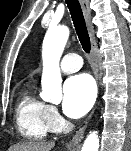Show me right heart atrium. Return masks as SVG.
I'll return each instance as SVG.
<instances>
[{
    "instance_id": "right-heart-atrium-1",
    "label": "right heart atrium",
    "mask_w": 131,
    "mask_h": 151,
    "mask_svg": "<svg viewBox=\"0 0 131 151\" xmlns=\"http://www.w3.org/2000/svg\"><path fill=\"white\" fill-rule=\"evenodd\" d=\"M48 119L53 130H58L63 123L62 117L60 116L55 106L49 105L48 107Z\"/></svg>"
}]
</instances>
